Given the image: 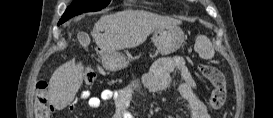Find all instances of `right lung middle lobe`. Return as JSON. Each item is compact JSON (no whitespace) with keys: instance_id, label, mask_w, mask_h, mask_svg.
I'll use <instances>...</instances> for the list:
<instances>
[{"instance_id":"dd1d6c3e","label":"right lung middle lobe","mask_w":273,"mask_h":118,"mask_svg":"<svg viewBox=\"0 0 273 118\" xmlns=\"http://www.w3.org/2000/svg\"><path fill=\"white\" fill-rule=\"evenodd\" d=\"M111 0H74L62 16L64 21L82 14L84 12H94L105 8Z\"/></svg>"}]
</instances>
